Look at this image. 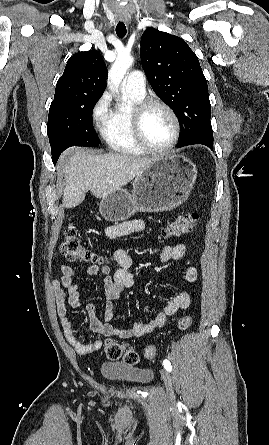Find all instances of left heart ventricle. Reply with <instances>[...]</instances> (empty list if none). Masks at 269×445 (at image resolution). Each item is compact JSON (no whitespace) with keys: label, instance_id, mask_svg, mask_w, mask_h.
I'll return each instance as SVG.
<instances>
[{"label":"left heart ventricle","instance_id":"b2bd125f","mask_svg":"<svg viewBox=\"0 0 269 445\" xmlns=\"http://www.w3.org/2000/svg\"><path fill=\"white\" fill-rule=\"evenodd\" d=\"M143 133L150 146L165 147L174 134V124L170 115L163 108H151L143 121Z\"/></svg>","mask_w":269,"mask_h":445}]
</instances>
